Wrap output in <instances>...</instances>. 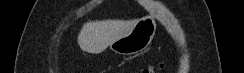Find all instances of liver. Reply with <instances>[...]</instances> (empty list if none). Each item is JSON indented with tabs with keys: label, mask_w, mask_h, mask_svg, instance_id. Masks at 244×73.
Instances as JSON below:
<instances>
[{
	"label": "liver",
	"mask_w": 244,
	"mask_h": 73,
	"mask_svg": "<svg viewBox=\"0 0 244 73\" xmlns=\"http://www.w3.org/2000/svg\"><path fill=\"white\" fill-rule=\"evenodd\" d=\"M137 21V19H134L87 22L78 35V44L85 52L102 53L113 41L129 33Z\"/></svg>",
	"instance_id": "obj_1"
}]
</instances>
